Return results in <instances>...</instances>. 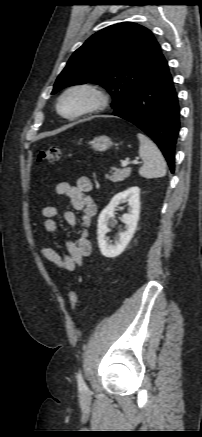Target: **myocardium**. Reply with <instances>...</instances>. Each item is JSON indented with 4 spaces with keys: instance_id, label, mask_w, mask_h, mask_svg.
<instances>
[{
    "instance_id": "obj_1",
    "label": "myocardium",
    "mask_w": 202,
    "mask_h": 437,
    "mask_svg": "<svg viewBox=\"0 0 202 437\" xmlns=\"http://www.w3.org/2000/svg\"><path fill=\"white\" fill-rule=\"evenodd\" d=\"M74 92H84L90 96V103L80 111L67 115L62 112L61 104L63 100ZM108 104L107 94L98 86L91 83H78L66 88L58 97L56 103V110L60 116L67 120H78L88 115H92L102 111Z\"/></svg>"
}]
</instances>
